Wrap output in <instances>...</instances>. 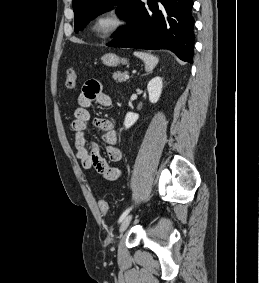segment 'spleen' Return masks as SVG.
Listing matches in <instances>:
<instances>
[{"instance_id":"3e777b00","label":"spleen","mask_w":259,"mask_h":283,"mask_svg":"<svg viewBox=\"0 0 259 283\" xmlns=\"http://www.w3.org/2000/svg\"><path fill=\"white\" fill-rule=\"evenodd\" d=\"M134 55L144 61L145 69L148 72L152 71L159 61V59L156 56L151 55L149 53L136 51L134 52Z\"/></svg>"}]
</instances>
